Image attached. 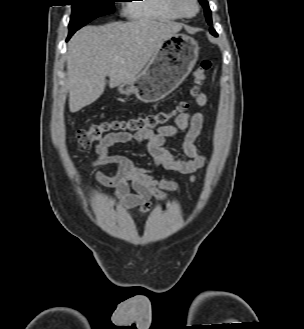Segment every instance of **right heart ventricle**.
<instances>
[{"label":"right heart ventricle","instance_id":"obj_1","mask_svg":"<svg viewBox=\"0 0 304 329\" xmlns=\"http://www.w3.org/2000/svg\"><path fill=\"white\" fill-rule=\"evenodd\" d=\"M132 2H140L126 4V9L133 18L159 21L180 19L169 6L168 0H132Z\"/></svg>","mask_w":304,"mask_h":329}]
</instances>
